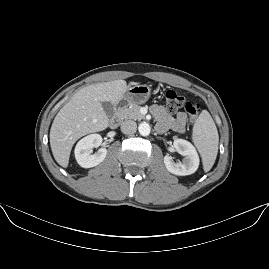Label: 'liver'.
<instances>
[{
	"instance_id": "liver-1",
	"label": "liver",
	"mask_w": 269,
	"mask_h": 269,
	"mask_svg": "<svg viewBox=\"0 0 269 269\" xmlns=\"http://www.w3.org/2000/svg\"><path fill=\"white\" fill-rule=\"evenodd\" d=\"M127 90V83L122 79L90 85L75 93L60 109L50 130L52 153L59 165L68 166L72 146L80 137L108 127L102 102L117 105Z\"/></svg>"
}]
</instances>
